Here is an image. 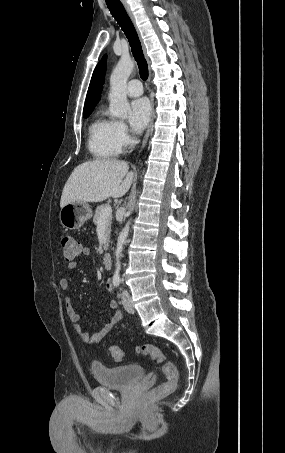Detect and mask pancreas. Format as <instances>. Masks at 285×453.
I'll list each match as a JSON object with an SVG mask.
<instances>
[{
    "label": "pancreas",
    "instance_id": "pancreas-1",
    "mask_svg": "<svg viewBox=\"0 0 285 453\" xmlns=\"http://www.w3.org/2000/svg\"><path fill=\"white\" fill-rule=\"evenodd\" d=\"M105 207H108L107 204H103V205H100L96 208L95 210V214H94V217H93V222L95 225L98 224L100 218H101V212L102 210L105 208ZM111 221H112V215H109L105 218V236H106V241L104 243V250L107 249L108 247V241H109V237H110V232H111Z\"/></svg>",
    "mask_w": 285,
    "mask_h": 453
}]
</instances>
